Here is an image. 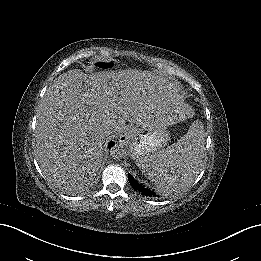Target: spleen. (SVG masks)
Returning <instances> with one entry per match:
<instances>
[{
  "instance_id": "3e777b00",
  "label": "spleen",
  "mask_w": 261,
  "mask_h": 261,
  "mask_svg": "<svg viewBox=\"0 0 261 261\" xmlns=\"http://www.w3.org/2000/svg\"><path fill=\"white\" fill-rule=\"evenodd\" d=\"M200 159V135L190 128L177 143L145 157L137 166L157 188L168 192L180 190L181 184L191 178Z\"/></svg>"
}]
</instances>
